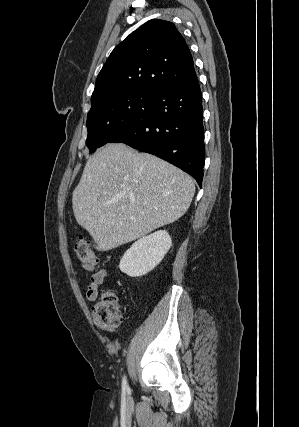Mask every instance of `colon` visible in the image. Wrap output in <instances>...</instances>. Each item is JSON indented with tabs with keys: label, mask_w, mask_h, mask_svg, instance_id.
<instances>
[{
	"label": "colon",
	"mask_w": 299,
	"mask_h": 427,
	"mask_svg": "<svg viewBox=\"0 0 299 427\" xmlns=\"http://www.w3.org/2000/svg\"><path fill=\"white\" fill-rule=\"evenodd\" d=\"M76 260L86 268H100V260L94 255L90 243L85 238H79L74 244ZM95 324L106 332L116 330L121 323V311L116 294L108 290L92 308Z\"/></svg>",
	"instance_id": "colon-1"
}]
</instances>
